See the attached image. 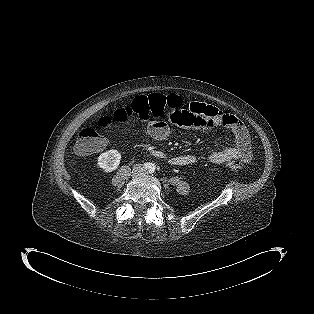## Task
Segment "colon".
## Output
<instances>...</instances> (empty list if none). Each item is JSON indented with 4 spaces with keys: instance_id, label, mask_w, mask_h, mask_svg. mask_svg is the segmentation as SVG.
<instances>
[{
    "instance_id": "colon-1",
    "label": "colon",
    "mask_w": 314,
    "mask_h": 314,
    "mask_svg": "<svg viewBox=\"0 0 314 314\" xmlns=\"http://www.w3.org/2000/svg\"><path fill=\"white\" fill-rule=\"evenodd\" d=\"M173 104L182 105L183 101L176 95L165 96L159 93L138 96L130 105L116 110L112 116L105 115L99 118L98 126L108 128L114 121L127 124L135 118L141 122H154L156 119L164 118L165 108ZM103 146L104 139L97 130L93 127H84L78 134L74 150L78 155H88L102 150ZM226 165L232 170L242 167L237 159L228 160Z\"/></svg>"
}]
</instances>
